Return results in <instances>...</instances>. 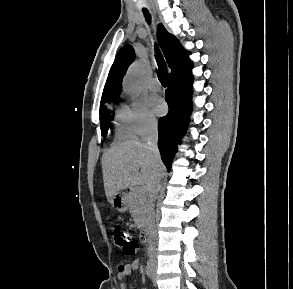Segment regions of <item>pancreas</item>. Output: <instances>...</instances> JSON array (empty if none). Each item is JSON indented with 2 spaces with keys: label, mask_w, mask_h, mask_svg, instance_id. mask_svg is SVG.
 Wrapping results in <instances>:
<instances>
[{
  "label": "pancreas",
  "mask_w": 293,
  "mask_h": 289,
  "mask_svg": "<svg viewBox=\"0 0 293 289\" xmlns=\"http://www.w3.org/2000/svg\"><path fill=\"white\" fill-rule=\"evenodd\" d=\"M129 212L133 217L135 226L142 228L146 222L147 201L144 193H136L132 190L127 195Z\"/></svg>",
  "instance_id": "1"
}]
</instances>
